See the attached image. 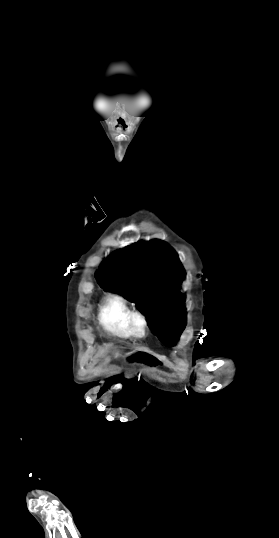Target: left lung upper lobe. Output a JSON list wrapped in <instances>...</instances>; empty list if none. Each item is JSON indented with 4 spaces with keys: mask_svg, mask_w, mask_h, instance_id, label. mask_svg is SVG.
Returning <instances> with one entry per match:
<instances>
[{
    "mask_svg": "<svg viewBox=\"0 0 279 538\" xmlns=\"http://www.w3.org/2000/svg\"><path fill=\"white\" fill-rule=\"evenodd\" d=\"M95 276L105 290L135 302L159 339L166 333L181 335L186 326L184 297L179 291L184 270L171 246L150 241L117 250Z\"/></svg>",
    "mask_w": 279,
    "mask_h": 538,
    "instance_id": "1",
    "label": "left lung upper lobe"
}]
</instances>
